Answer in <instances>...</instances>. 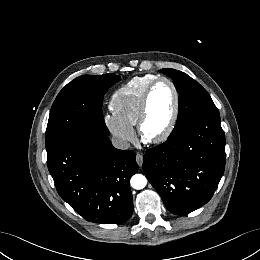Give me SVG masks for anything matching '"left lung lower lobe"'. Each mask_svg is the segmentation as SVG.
<instances>
[{
    "label": "left lung lower lobe",
    "mask_w": 260,
    "mask_h": 260,
    "mask_svg": "<svg viewBox=\"0 0 260 260\" xmlns=\"http://www.w3.org/2000/svg\"><path fill=\"white\" fill-rule=\"evenodd\" d=\"M220 116L195 119L167 141L148 149L143 171L175 215L188 214L213 196L225 168Z\"/></svg>",
    "instance_id": "0a47b994"
}]
</instances>
